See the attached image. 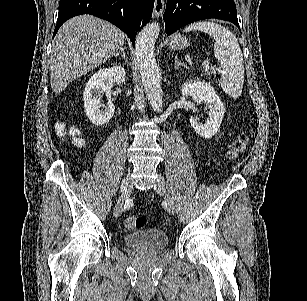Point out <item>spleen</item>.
I'll list each match as a JSON object with an SVG mask.
<instances>
[{
    "label": "spleen",
    "instance_id": "spleen-1",
    "mask_svg": "<svg viewBox=\"0 0 307 301\" xmlns=\"http://www.w3.org/2000/svg\"><path fill=\"white\" fill-rule=\"evenodd\" d=\"M189 30H203L213 36L214 54L220 60L222 68L219 84L226 94L239 98L244 84V62L235 34H232L226 26L212 22V20L192 22L184 28V32H189Z\"/></svg>",
    "mask_w": 307,
    "mask_h": 301
}]
</instances>
